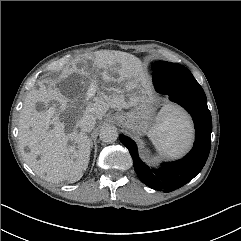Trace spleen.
<instances>
[{
	"label": "spleen",
	"instance_id": "3e777b00",
	"mask_svg": "<svg viewBox=\"0 0 241 241\" xmlns=\"http://www.w3.org/2000/svg\"><path fill=\"white\" fill-rule=\"evenodd\" d=\"M193 126L188 115L179 107L165 105L151 126L148 137L164 156L178 158L191 146Z\"/></svg>",
	"mask_w": 241,
	"mask_h": 241
}]
</instances>
